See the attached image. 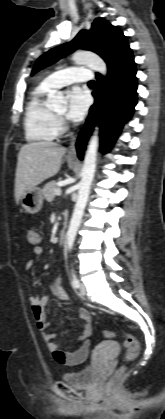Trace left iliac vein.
Segmentation results:
<instances>
[{
    "instance_id": "obj_1",
    "label": "left iliac vein",
    "mask_w": 165,
    "mask_h": 419,
    "mask_svg": "<svg viewBox=\"0 0 165 419\" xmlns=\"http://www.w3.org/2000/svg\"><path fill=\"white\" fill-rule=\"evenodd\" d=\"M79 292H80V294H81L82 296H85V295H86L87 290H86V287H85V285H84V284H81V285H80Z\"/></svg>"
}]
</instances>
